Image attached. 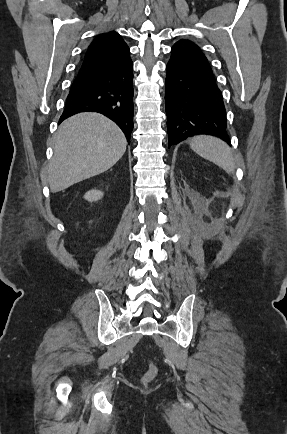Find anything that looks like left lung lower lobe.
<instances>
[{
    "label": "left lung lower lobe",
    "mask_w": 287,
    "mask_h": 434,
    "mask_svg": "<svg viewBox=\"0 0 287 434\" xmlns=\"http://www.w3.org/2000/svg\"><path fill=\"white\" fill-rule=\"evenodd\" d=\"M168 147L206 134L228 144L226 112L207 60L172 54L165 81Z\"/></svg>",
    "instance_id": "left-lung-lower-lobe-1"
}]
</instances>
